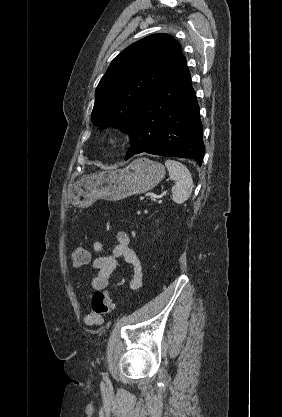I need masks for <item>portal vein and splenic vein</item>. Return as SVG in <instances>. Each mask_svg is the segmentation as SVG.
<instances>
[{"label": "portal vein and splenic vein", "mask_w": 282, "mask_h": 417, "mask_svg": "<svg viewBox=\"0 0 282 417\" xmlns=\"http://www.w3.org/2000/svg\"><path fill=\"white\" fill-rule=\"evenodd\" d=\"M149 196H150V193H149V192H146L145 194H142V195H141L140 200H141V201H144V200H145V198H146V197H149Z\"/></svg>", "instance_id": "obj_1"}]
</instances>
